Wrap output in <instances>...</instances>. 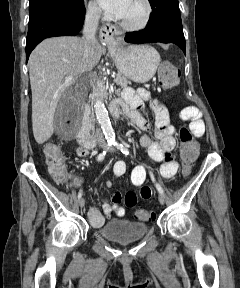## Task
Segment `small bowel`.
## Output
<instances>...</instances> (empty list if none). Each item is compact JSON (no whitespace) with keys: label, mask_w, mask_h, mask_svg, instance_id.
Wrapping results in <instances>:
<instances>
[{"label":"small bowel","mask_w":240,"mask_h":288,"mask_svg":"<svg viewBox=\"0 0 240 288\" xmlns=\"http://www.w3.org/2000/svg\"><path fill=\"white\" fill-rule=\"evenodd\" d=\"M118 102L122 105L124 112L130 117L132 122L142 131L148 132L150 124L143 116L146 110V104H149L150 110L155 115L154 139L145 134L140 138V144L147 148L150 158L161 163L160 174L163 178L173 177L179 168L177 161L172 157L171 151L176 144V129L170 123L169 111L163 102L153 98L151 94L143 88L133 90L126 88L121 94ZM179 118L182 121L189 122L188 130L194 137H201L205 131V125L201 118V112L193 106L184 107ZM90 148L79 146L76 149L78 157L88 156ZM126 172V163L119 160L114 164L113 173L116 177L122 176ZM146 180V172L142 166H136L131 172V182L135 186H141L140 197L149 199L152 191L148 186H143ZM82 182L81 178H75L74 186L78 187ZM110 187L111 183L108 182ZM121 194L116 191L112 196V204L104 202L102 205L103 214L95 207L88 211V218L93 227L97 228L104 224L105 218L109 217L112 212L117 216L125 214L124 208L120 205Z\"/></svg>","instance_id":"c3829d8e"}]
</instances>
